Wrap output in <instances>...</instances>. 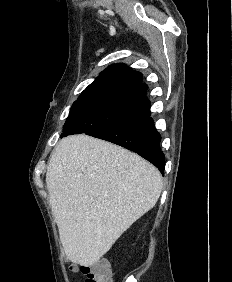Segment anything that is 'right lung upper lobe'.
I'll return each mask as SVG.
<instances>
[{"instance_id": "obj_1", "label": "right lung upper lobe", "mask_w": 232, "mask_h": 282, "mask_svg": "<svg viewBox=\"0 0 232 282\" xmlns=\"http://www.w3.org/2000/svg\"><path fill=\"white\" fill-rule=\"evenodd\" d=\"M147 89L148 86L143 83V76L140 72L118 63L102 71L82 94L110 90L136 91L146 94Z\"/></svg>"}]
</instances>
